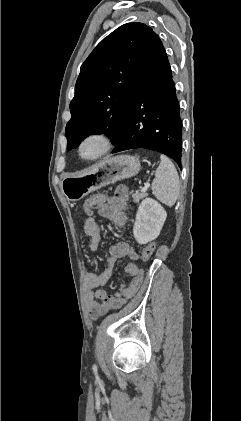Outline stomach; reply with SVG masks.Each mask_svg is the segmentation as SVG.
Here are the masks:
<instances>
[{
    "instance_id": "stomach-1",
    "label": "stomach",
    "mask_w": 241,
    "mask_h": 421,
    "mask_svg": "<svg viewBox=\"0 0 241 421\" xmlns=\"http://www.w3.org/2000/svg\"><path fill=\"white\" fill-rule=\"evenodd\" d=\"M140 168L141 164L137 157L130 155L110 157L81 174L65 176L61 182V190L68 201L76 202L102 186L135 176Z\"/></svg>"
}]
</instances>
